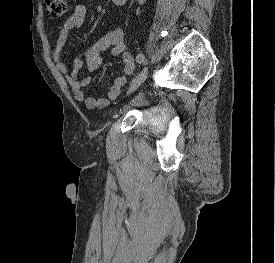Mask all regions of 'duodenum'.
Returning a JSON list of instances; mask_svg holds the SVG:
<instances>
[{"label":"duodenum","mask_w":275,"mask_h":263,"mask_svg":"<svg viewBox=\"0 0 275 263\" xmlns=\"http://www.w3.org/2000/svg\"><path fill=\"white\" fill-rule=\"evenodd\" d=\"M112 2L117 6H122L125 4L126 0H112Z\"/></svg>","instance_id":"1"}]
</instances>
